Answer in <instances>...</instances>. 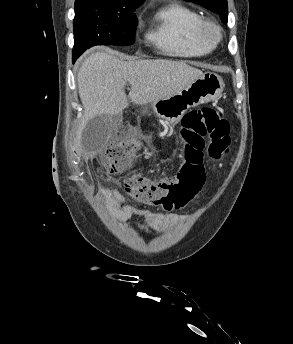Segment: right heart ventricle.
<instances>
[{
	"label": "right heart ventricle",
	"instance_id": "e07e8e85",
	"mask_svg": "<svg viewBox=\"0 0 293 344\" xmlns=\"http://www.w3.org/2000/svg\"><path fill=\"white\" fill-rule=\"evenodd\" d=\"M201 15L182 4L160 7L149 25L145 38L163 54L174 57H201L214 47L200 38Z\"/></svg>",
	"mask_w": 293,
	"mask_h": 344
}]
</instances>
